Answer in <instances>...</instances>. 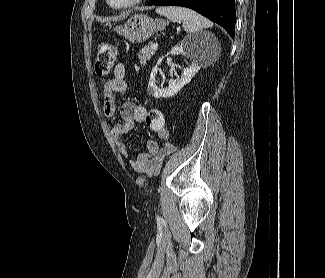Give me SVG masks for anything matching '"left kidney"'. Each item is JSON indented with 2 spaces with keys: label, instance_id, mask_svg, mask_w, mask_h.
<instances>
[{
  "label": "left kidney",
  "instance_id": "left-kidney-1",
  "mask_svg": "<svg viewBox=\"0 0 325 278\" xmlns=\"http://www.w3.org/2000/svg\"><path fill=\"white\" fill-rule=\"evenodd\" d=\"M206 42L202 36L195 35L185 37L180 44L172 48L169 54L176 55L181 53L192 60V65L183 70L181 77L169 81V86L166 88H159L156 85V75L158 73V66L161 64L164 57L160 58L156 66L152 69L148 83V93L155 98H168L176 95L186 84H188L194 75L200 70L202 66V59L205 54Z\"/></svg>",
  "mask_w": 325,
  "mask_h": 278
}]
</instances>
